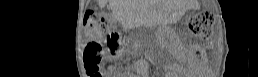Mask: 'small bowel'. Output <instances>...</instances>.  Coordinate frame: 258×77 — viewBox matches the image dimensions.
I'll list each match as a JSON object with an SVG mask.
<instances>
[{"mask_svg": "<svg viewBox=\"0 0 258 77\" xmlns=\"http://www.w3.org/2000/svg\"><path fill=\"white\" fill-rule=\"evenodd\" d=\"M191 64H192V68H193V69H198V66H197V64L195 63V61H191Z\"/></svg>", "mask_w": 258, "mask_h": 77, "instance_id": "obj_1", "label": "small bowel"}]
</instances>
